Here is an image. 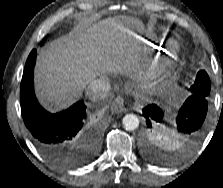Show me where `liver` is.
Wrapping results in <instances>:
<instances>
[{
    "label": "liver",
    "mask_w": 223,
    "mask_h": 188,
    "mask_svg": "<svg viewBox=\"0 0 223 188\" xmlns=\"http://www.w3.org/2000/svg\"><path fill=\"white\" fill-rule=\"evenodd\" d=\"M124 22L142 26L132 17L85 22L41 49L35 71L39 99L56 109L64 108L97 76L135 70L139 65L136 43Z\"/></svg>",
    "instance_id": "liver-1"
}]
</instances>
